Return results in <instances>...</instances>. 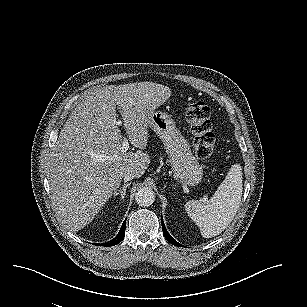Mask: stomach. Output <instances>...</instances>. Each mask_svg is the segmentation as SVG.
<instances>
[{"instance_id":"0dacf381","label":"stomach","mask_w":307,"mask_h":307,"mask_svg":"<svg viewBox=\"0 0 307 307\" xmlns=\"http://www.w3.org/2000/svg\"><path fill=\"white\" fill-rule=\"evenodd\" d=\"M148 127L162 140L174 176L190 185L202 179L203 168L192 155L190 145L176 128L172 116L157 110L148 115Z\"/></svg>"}]
</instances>
